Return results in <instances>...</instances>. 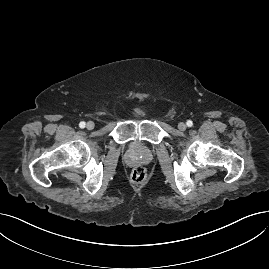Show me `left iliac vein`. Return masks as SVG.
Returning a JSON list of instances; mask_svg holds the SVG:
<instances>
[{"label":"left iliac vein","instance_id":"1","mask_svg":"<svg viewBox=\"0 0 269 269\" xmlns=\"http://www.w3.org/2000/svg\"><path fill=\"white\" fill-rule=\"evenodd\" d=\"M186 128H187V125L184 122H180L178 124V129L179 130L184 131V130H186Z\"/></svg>","mask_w":269,"mask_h":269}]
</instances>
